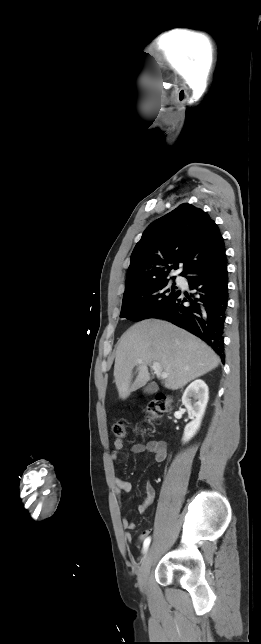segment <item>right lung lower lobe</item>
<instances>
[{
    "instance_id": "right-lung-lower-lobe-1",
    "label": "right lung lower lobe",
    "mask_w": 261,
    "mask_h": 644,
    "mask_svg": "<svg viewBox=\"0 0 261 644\" xmlns=\"http://www.w3.org/2000/svg\"><path fill=\"white\" fill-rule=\"evenodd\" d=\"M189 286L198 297L180 292L176 300L153 318H162L204 340L224 358V322L228 303L227 259L188 270ZM187 304H184V303Z\"/></svg>"
}]
</instances>
